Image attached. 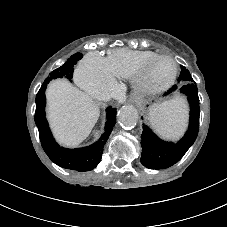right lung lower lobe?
<instances>
[{
    "label": "right lung lower lobe",
    "instance_id": "1",
    "mask_svg": "<svg viewBox=\"0 0 227 227\" xmlns=\"http://www.w3.org/2000/svg\"><path fill=\"white\" fill-rule=\"evenodd\" d=\"M45 89L46 86H42L36 95L35 112V123L38 127L41 145L45 153L49 156L52 162L65 169L79 172L94 169L101 161L104 144L116 123V109L112 107L106 109L107 120L105 123V131L96 143L78 149L63 148L54 140L45 117Z\"/></svg>",
    "mask_w": 227,
    "mask_h": 227
}]
</instances>
